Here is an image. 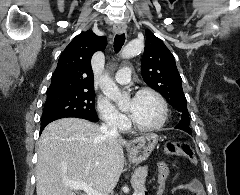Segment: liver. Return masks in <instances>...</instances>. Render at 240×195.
<instances>
[{"mask_svg": "<svg viewBox=\"0 0 240 195\" xmlns=\"http://www.w3.org/2000/svg\"><path fill=\"white\" fill-rule=\"evenodd\" d=\"M123 145H127L126 139L104 137L100 125L88 119L52 121L39 137L37 195H87L71 189L65 181H85L99 193H110L124 167Z\"/></svg>", "mask_w": 240, "mask_h": 195, "instance_id": "obj_1", "label": "liver"}]
</instances>
